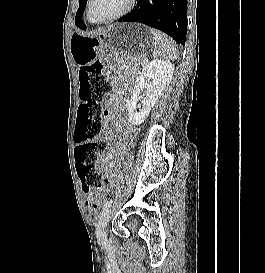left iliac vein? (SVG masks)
Wrapping results in <instances>:
<instances>
[{
	"instance_id": "4c4485c4",
	"label": "left iliac vein",
	"mask_w": 265,
	"mask_h": 273,
	"mask_svg": "<svg viewBox=\"0 0 265 273\" xmlns=\"http://www.w3.org/2000/svg\"><path fill=\"white\" fill-rule=\"evenodd\" d=\"M112 208L105 210L96 226V236L98 244L102 247L106 248L108 245L107 237H106V226L110 220L111 214H112Z\"/></svg>"
}]
</instances>
